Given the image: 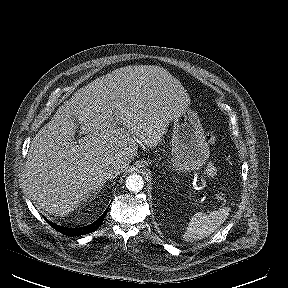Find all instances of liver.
Instances as JSON below:
<instances>
[{"mask_svg":"<svg viewBox=\"0 0 288 288\" xmlns=\"http://www.w3.org/2000/svg\"><path fill=\"white\" fill-rule=\"evenodd\" d=\"M189 104L180 81L159 66H126L95 79L31 141L25 164L29 195L47 212L68 215L102 188L103 165L120 163L125 171L138 144L156 146ZM77 124L87 134L79 145Z\"/></svg>","mask_w":288,"mask_h":288,"instance_id":"liver-1","label":"liver"}]
</instances>
